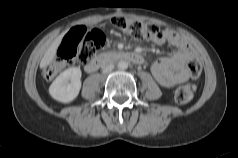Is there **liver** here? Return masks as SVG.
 <instances>
[{
  "instance_id": "liver-1",
  "label": "liver",
  "mask_w": 238,
  "mask_h": 158,
  "mask_svg": "<svg viewBox=\"0 0 238 158\" xmlns=\"http://www.w3.org/2000/svg\"><path fill=\"white\" fill-rule=\"evenodd\" d=\"M63 37V34L60 35L56 40L50 45V47L46 50L41 62H40V67L41 68H46L54 59L56 49L61 42V39Z\"/></svg>"
}]
</instances>
